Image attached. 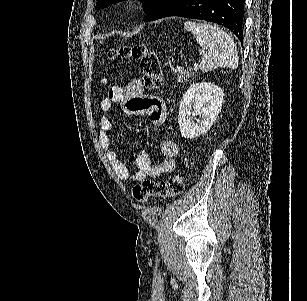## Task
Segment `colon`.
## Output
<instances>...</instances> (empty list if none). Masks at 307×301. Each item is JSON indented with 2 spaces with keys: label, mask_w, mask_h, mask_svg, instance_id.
<instances>
[{
  "label": "colon",
  "mask_w": 307,
  "mask_h": 301,
  "mask_svg": "<svg viewBox=\"0 0 307 301\" xmlns=\"http://www.w3.org/2000/svg\"><path fill=\"white\" fill-rule=\"evenodd\" d=\"M122 57L139 61L142 78L147 88L157 89L163 85L164 77L157 54L146 44L124 45L108 52L109 59ZM185 178L176 173L167 181L145 179L134 186L132 194L136 201L145 203L154 197H177L184 192Z\"/></svg>",
  "instance_id": "colon-1"
}]
</instances>
